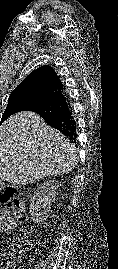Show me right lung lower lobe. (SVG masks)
Segmentation results:
<instances>
[{"mask_svg": "<svg viewBox=\"0 0 118 269\" xmlns=\"http://www.w3.org/2000/svg\"><path fill=\"white\" fill-rule=\"evenodd\" d=\"M24 111L39 114L48 125L58 129L71 140H76V122L63 90L30 105Z\"/></svg>", "mask_w": 118, "mask_h": 269, "instance_id": "right-lung-lower-lobe-1", "label": "right lung lower lobe"}]
</instances>
